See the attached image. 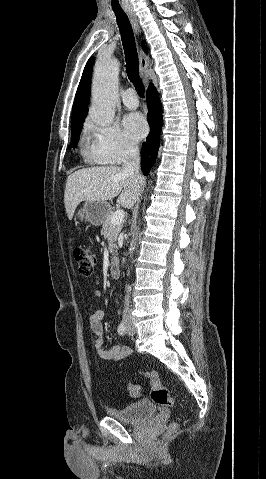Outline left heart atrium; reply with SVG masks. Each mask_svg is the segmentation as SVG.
Segmentation results:
<instances>
[{
	"mask_svg": "<svg viewBox=\"0 0 266 479\" xmlns=\"http://www.w3.org/2000/svg\"><path fill=\"white\" fill-rule=\"evenodd\" d=\"M123 125L127 136L133 141L141 139L147 132L146 120L140 113L126 115Z\"/></svg>",
	"mask_w": 266,
	"mask_h": 479,
	"instance_id": "obj_1",
	"label": "left heart atrium"
}]
</instances>
